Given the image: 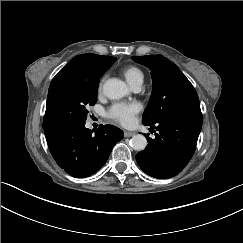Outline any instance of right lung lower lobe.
I'll list each match as a JSON object with an SVG mask.
<instances>
[{"label":"right lung lower lobe","instance_id":"1","mask_svg":"<svg viewBox=\"0 0 243 243\" xmlns=\"http://www.w3.org/2000/svg\"><path fill=\"white\" fill-rule=\"evenodd\" d=\"M49 150L68 174L84 178L96 173L107 161L123 132L112 125H101L95 134L85 121L61 122L44 128Z\"/></svg>","mask_w":243,"mask_h":243}]
</instances>
